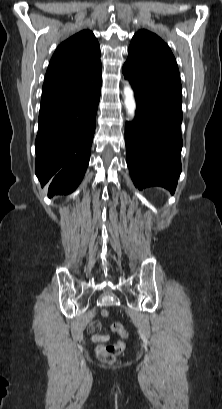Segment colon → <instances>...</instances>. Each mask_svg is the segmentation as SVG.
Here are the masks:
<instances>
[{
    "mask_svg": "<svg viewBox=\"0 0 222 409\" xmlns=\"http://www.w3.org/2000/svg\"><path fill=\"white\" fill-rule=\"evenodd\" d=\"M107 310L102 311L103 317H108ZM111 330L121 335L122 338H127V332L120 323H113ZM125 343L123 340H118L115 343L102 344L97 348L98 357L104 362H113L124 351Z\"/></svg>",
    "mask_w": 222,
    "mask_h": 409,
    "instance_id": "colon-1",
    "label": "colon"
}]
</instances>
